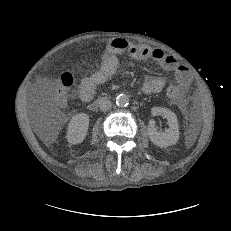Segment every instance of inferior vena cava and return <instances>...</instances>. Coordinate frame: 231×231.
<instances>
[{
	"label": "inferior vena cava",
	"mask_w": 231,
	"mask_h": 231,
	"mask_svg": "<svg viewBox=\"0 0 231 231\" xmlns=\"http://www.w3.org/2000/svg\"><path fill=\"white\" fill-rule=\"evenodd\" d=\"M98 105L100 110L107 111L108 109L111 108L112 102L106 98H101L98 100Z\"/></svg>",
	"instance_id": "1"
}]
</instances>
